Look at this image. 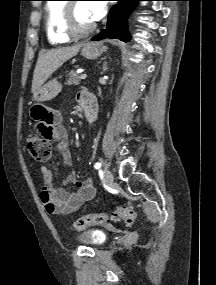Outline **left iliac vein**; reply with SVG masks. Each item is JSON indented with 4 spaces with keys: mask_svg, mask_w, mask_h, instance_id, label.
Here are the masks:
<instances>
[{
    "mask_svg": "<svg viewBox=\"0 0 216 285\" xmlns=\"http://www.w3.org/2000/svg\"><path fill=\"white\" fill-rule=\"evenodd\" d=\"M104 180L109 186L113 185L114 176H113L112 172L107 168L104 169Z\"/></svg>",
    "mask_w": 216,
    "mask_h": 285,
    "instance_id": "4c4485c4",
    "label": "left iliac vein"
}]
</instances>
